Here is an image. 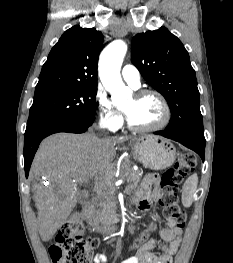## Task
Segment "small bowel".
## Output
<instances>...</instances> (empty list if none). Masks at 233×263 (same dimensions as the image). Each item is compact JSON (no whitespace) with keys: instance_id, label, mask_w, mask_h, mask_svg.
I'll use <instances>...</instances> for the list:
<instances>
[{"instance_id":"c3829d8e","label":"small bowel","mask_w":233,"mask_h":263,"mask_svg":"<svg viewBox=\"0 0 233 263\" xmlns=\"http://www.w3.org/2000/svg\"><path fill=\"white\" fill-rule=\"evenodd\" d=\"M161 200L160 180L156 175H147L141 188L135 196V204L140 211L146 212L152 203L158 204ZM161 243L157 239L147 241L138 252L120 263H173V255L176 253L181 239L182 229L172 219H166V227L160 232ZM159 247L160 253H155ZM92 263H107L104 254H96Z\"/></svg>"}]
</instances>
